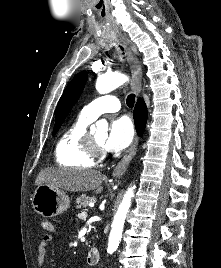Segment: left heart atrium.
<instances>
[{
	"mask_svg": "<svg viewBox=\"0 0 221 268\" xmlns=\"http://www.w3.org/2000/svg\"><path fill=\"white\" fill-rule=\"evenodd\" d=\"M134 130L130 119L122 116L112 120L104 147L108 151H121L131 143Z\"/></svg>",
	"mask_w": 221,
	"mask_h": 268,
	"instance_id": "1",
	"label": "left heart atrium"
}]
</instances>
